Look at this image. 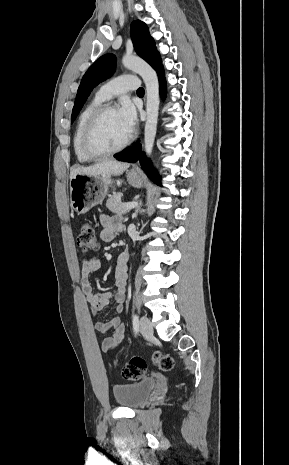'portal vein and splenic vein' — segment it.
<instances>
[{
	"label": "portal vein and splenic vein",
	"instance_id": "1",
	"mask_svg": "<svg viewBox=\"0 0 289 465\" xmlns=\"http://www.w3.org/2000/svg\"><path fill=\"white\" fill-rule=\"evenodd\" d=\"M137 205H138V202L133 201V202H128V203L124 204V207L126 209H131V208L136 207Z\"/></svg>",
	"mask_w": 289,
	"mask_h": 465
}]
</instances>
